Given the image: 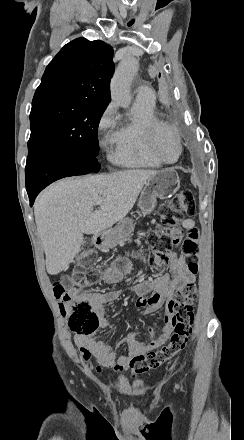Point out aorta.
<instances>
[{
  "label": "aorta",
  "mask_w": 244,
  "mask_h": 440,
  "mask_svg": "<svg viewBox=\"0 0 244 440\" xmlns=\"http://www.w3.org/2000/svg\"><path fill=\"white\" fill-rule=\"evenodd\" d=\"M137 71L136 59L128 57L120 62L113 75L110 84L111 98L121 107L130 105V85Z\"/></svg>",
  "instance_id": "762f6f07"
}]
</instances>
